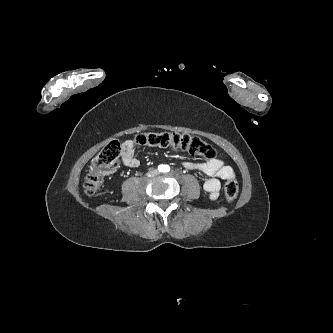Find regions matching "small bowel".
<instances>
[{"mask_svg": "<svg viewBox=\"0 0 333 333\" xmlns=\"http://www.w3.org/2000/svg\"><path fill=\"white\" fill-rule=\"evenodd\" d=\"M121 159L125 166L137 168L140 161L135 156L132 140H125L121 144ZM184 167L190 170H197L208 176L203 188L208 194L210 200L215 201L219 197L220 180L234 178L235 173L232 167L226 165L218 158H212L207 161L186 160L183 162Z\"/></svg>", "mask_w": 333, "mask_h": 333, "instance_id": "small-bowel-1", "label": "small bowel"}]
</instances>
